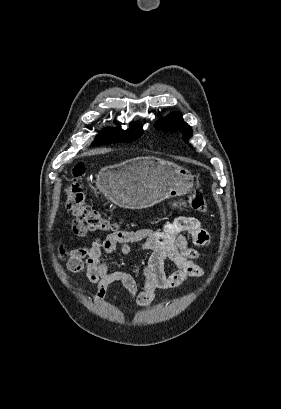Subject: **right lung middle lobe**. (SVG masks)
Listing matches in <instances>:
<instances>
[{
  "mask_svg": "<svg viewBox=\"0 0 281 409\" xmlns=\"http://www.w3.org/2000/svg\"><path fill=\"white\" fill-rule=\"evenodd\" d=\"M143 133L141 126H133L128 131L121 129H108L103 133H100L94 142L93 146L117 143V142H131L134 139L139 138Z\"/></svg>",
  "mask_w": 281,
  "mask_h": 409,
  "instance_id": "1",
  "label": "right lung middle lobe"
}]
</instances>
